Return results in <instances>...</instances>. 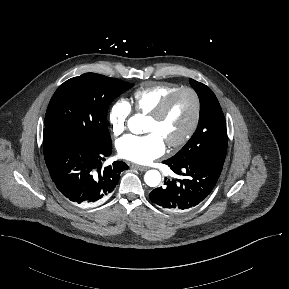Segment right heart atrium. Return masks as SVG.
<instances>
[{
	"mask_svg": "<svg viewBox=\"0 0 289 289\" xmlns=\"http://www.w3.org/2000/svg\"><path fill=\"white\" fill-rule=\"evenodd\" d=\"M131 113V104L123 98L116 100L112 104L109 110L108 119L111 131L114 135L119 136L124 133Z\"/></svg>",
	"mask_w": 289,
	"mask_h": 289,
	"instance_id": "right-heart-atrium-1",
	"label": "right heart atrium"
}]
</instances>
